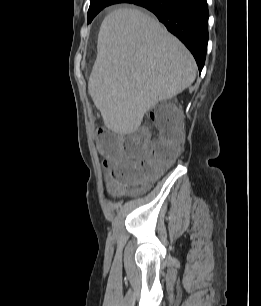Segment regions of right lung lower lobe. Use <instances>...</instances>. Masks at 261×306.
Listing matches in <instances>:
<instances>
[{
    "label": "right lung lower lobe",
    "mask_w": 261,
    "mask_h": 306,
    "mask_svg": "<svg viewBox=\"0 0 261 306\" xmlns=\"http://www.w3.org/2000/svg\"><path fill=\"white\" fill-rule=\"evenodd\" d=\"M153 12L168 31L193 54L202 70L208 42L209 12L206 0H128Z\"/></svg>",
    "instance_id": "1"
}]
</instances>
